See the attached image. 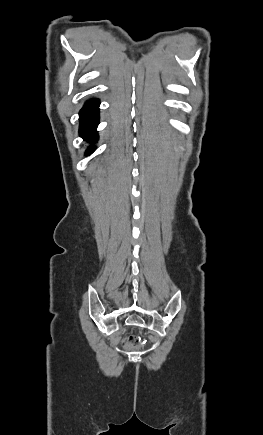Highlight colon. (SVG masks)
Instances as JSON below:
<instances>
[{
	"mask_svg": "<svg viewBox=\"0 0 263 435\" xmlns=\"http://www.w3.org/2000/svg\"><path fill=\"white\" fill-rule=\"evenodd\" d=\"M135 343H136V339L133 336L127 337L124 341L125 346H131L134 345Z\"/></svg>",
	"mask_w": 263,
	"mask_h": 435,
	"instance_id": "1",
	"label": "colon"
}]
</instances>
